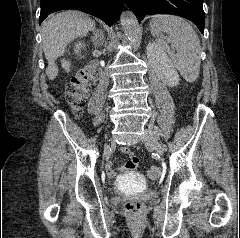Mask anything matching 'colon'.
<instances>
[{"label": "colon", "mask_w": 240, "mask_h": 238, "mask_svg": "<svg viewBox=\"0 0 240 238\" xmlns=\"http://www.w3.org/2000/svg\"><path fill=\"white\" fill-rule=\"evenodd\" d=\"M100 73L99 67L96 64H90L81 69L68 83L66 88V98L72 111L76 115H80L85 106V101L88 97L92 82L98 77ZM162 170L159 166H152L148 175L152 179L160 177ZM141 207L139 202L128 201L124 203L123 209L135 213Z\"/></svg>", "instance_id": "5ec220e1"}]
</instances>
